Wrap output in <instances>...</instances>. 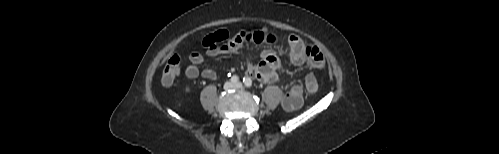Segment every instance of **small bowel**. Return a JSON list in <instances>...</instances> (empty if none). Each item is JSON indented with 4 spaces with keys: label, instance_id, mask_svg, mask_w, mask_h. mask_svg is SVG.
<instances>
[{
    "label": "small bowel",
    "instance_id": "small-bowel-1",
    "mask_svg": "<svg viewBox=\"0 0 499 154\" xmlns=\"http://www.w3.org/2000/svg\"><path fill=\"white\" fill-rule=\"evenodd\" d=\"M276 41L286 42L290 49V60L294 65L300 66L308 64L310 67L321 70L325 66V60L322 52L314 45L306 44L297 35H289L285 38H277L272 33L263 28L246 29L230 37L227 30H218L209 34L203 39L205 54L208 57H215L220 54L234 53L239 54L240 49L253 43L261 45L264 43L273 44ZM190 65L185 70V75L190 79H196L199 76L216 80L217 73L209 68L200 70L199 65L204 61V56L199 52H193L190 57ZM280 66V60L274 50L265 49L258 62L247 60V75L256 78L264 83H273L277 80V70ZM302 87L293 85L285 94L282 105L286 111H295L303 104Z\"/></svg>",
    "mask_w": 499,
    "mask_h": 154
}]
</instances>
